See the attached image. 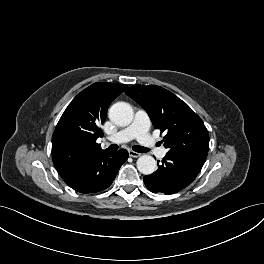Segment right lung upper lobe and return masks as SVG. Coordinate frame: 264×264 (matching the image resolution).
<instances>
[{"label": "right lung upper lobe", "instance_id": "right-lung-upper-lobe-1", "mask_svg": "<svg viewBox=\"0 0 264 264\" xmlns=\"http://www.w3.org/2000/svg\"><path fill=\"white\" fill-rule=\"evenodd\" d=\"M126 85L94 83L81 91L61 116L52 137V159L59 174L107 151L96 143L110 103Z\"/></svg>", "mask_w": 264, "mask_h": 264}]
</instances>
